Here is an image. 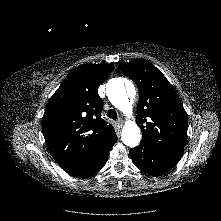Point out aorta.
<instances>
[{
	"instance_id": "1",
	"label": "aorta",
	"mask_w": 221,
	"mask_h": 221,
	"mask_svg": "<svg viewBox=\"0 0 221 221\" xmlns=\"http://www.w3.org/2000/svg\"><path fill=\"white\" fill-rule=\"evenodd\" d=\"M130 93H135L134 85L129 82ZM106 94L110 102L125 115H130L132 105L128 99L124 81L121 78H113L106 85ZM141 140L140 128L134 121H127L122 130V141L129 147H136Z\"/></svg>"
}]
</instances>
